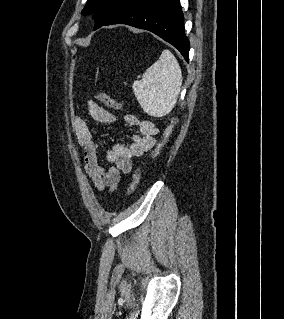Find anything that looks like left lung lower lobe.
<instances>
[{
    "mask_svg": "<svg viewBox=\"0 0 284 319\" xmlns=\"http://www.w3.org/2000/svg\"><path fill=\"white\" fill-rule=\"evenodd\" d=\"M127 24L146 29L172 44L189 62L190 43L184 31L179 0H124L103 25Z\"/></svg>",
    "mask_w": 284,
    "mask_h": 319,
    "instance_id": "0a47b994",
    "label": "left lung lower lobe"
}]
</instances>
